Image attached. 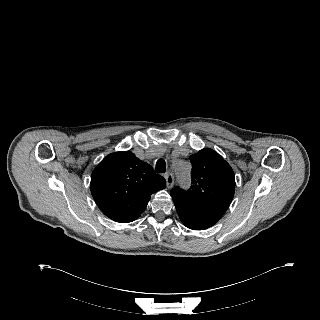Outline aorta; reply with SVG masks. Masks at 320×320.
<instances>
[{
    "instance_id": "obj_1",
    "label": "aorta",
    "mask_w": 320,
    "mask_h": 320,
    "mask_svg": "<svg viewBox=\"0 0 320 320\" xmlns=\"http://www.w3.org/2000/svg\"><path fill=\"white\" fill-rule=\"evenodd\" d=\"M173 171L177 180L184 183L188 179L190 167L186 162L179 160L173 164Z\"/></svg>"
}]
</instances>
